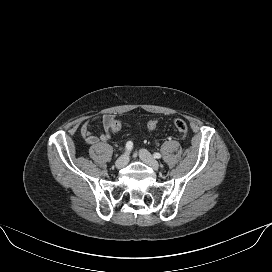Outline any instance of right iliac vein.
Wrapping results in <instances>:
<instances>
[{
    "mask_svg": "<svg viewBox=\"0 0 272 272\" xmlns=\"http://www.w3.org/2000/svg\"><path fill=\"white\" fill-rule=\"evenodd\" d=\"M128 153H125L124 155H122L121 157H119L116 162H115V166L117 169H121L123 167H125L128 163Z\"/></svg>",
    "mask_w": 272,
    "mask_h": 272,
    "instance_id": "obj_1",
    "label": "right iliac vein"
}]
</instances>
